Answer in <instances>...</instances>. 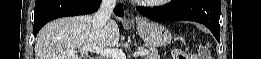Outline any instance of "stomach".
I'll return each mask as SVG.
<instances>
[{"label":"stomach","instance_id":"0dacf381","mask_svg":"<svg viewBox=\"0 0 261 59\" xmlns=\"http://www.w3.org/2000/svg\"><path fill=\"white\" fill-rule=\"evenodd\" d=\"M137 30L144 42L151 47H162L172 41L170 31L155 21L140 20L137 22Z\"/></svg>","mask_w":261,"mask_h":59}]
</instances>
